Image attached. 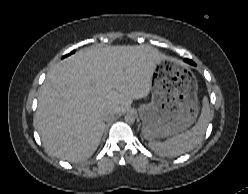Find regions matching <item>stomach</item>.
<instances>
[{
    "mask_svg": "<svg viewBox=\"0 0 248 194\" xmlns=\"http://www.w3.org/2000/svg\"><path fill=\"white\" fill-rule=\"evenodd\" d=\"M157 68L151 102L139 108L143 136L150 140L183 132L196 121L199 111L192 71L170 57H164Z\"/></svg>",
    "mask_w": 248,
    "mask_h": 194,
    "instance_id": "stomach-1",
    "label": "stomach"
}]
</instances>
